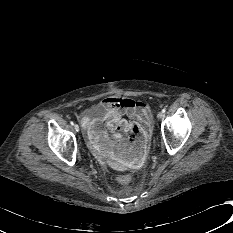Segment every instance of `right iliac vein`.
I'll return each mask as SVG.
<instances>
[{
	"label": "right iliac vein",
	"mask_w": 233,
	"mask_h": 233,
	"mask_svg": "<svg viewBox=\"0 0 233 233\" xmlns=\"http://www.w3.org/2000/svg\"><path fill=\"white\" fill-rule=\"evenodd\" d=\"M74 130H75L76 132H79V126H78L77 124L74 125Z\"/></svg>",
	"instance_id": "1"
}]
</instances>
